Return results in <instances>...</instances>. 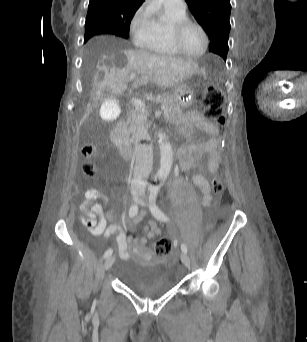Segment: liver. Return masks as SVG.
Instances as JSON below:
<instances>
[{
  "label": "liver",
  "mask_w": 307,
  "mask_h": 342,
  "mask_svg": "<svg viewBox=\"0 0 307 342\" xmlns=\"http://www.w3.org/2000/svg\"><path fill=\"white\" fill-rule=\"evenodd\" d=\"M198 70L196 62L173 58L167 54H150L145 50H109L108 56H100V62L94 67V74H105L103 82H98V78H94V86L98 88L96 100L100 98L104 88H109L115 96L124 94L131 82L129 74H140V78L133 84L134 88L144 84L173 88ZM96 106L97 104L94 108ZM90 110L91 106H87L81 124L89 116Z\"/></svg>",
  "instance_id": "obj_1"
}]
</instances>
